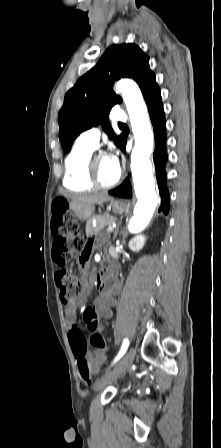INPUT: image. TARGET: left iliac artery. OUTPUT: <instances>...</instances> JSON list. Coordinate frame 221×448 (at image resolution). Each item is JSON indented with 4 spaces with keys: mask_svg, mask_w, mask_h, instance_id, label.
<instances>
[{
    "mask_svg": "<svg viewBox=\"0 0 221 448\" xmlns=\"http://www.w3.org/2000/svg\"><path fill=\"white\" fill-rule=\"evenodd\" d=\"M128 346H129V341H128L127 338H125L124 341H123L122 347H121V349H120V352L118 353L117 357L114 359L113 364H114L116 361H118V360L125 354V352H126Z\"/></svg>",
    "mask_w": 221,
    "mask_h": 448,
    "instance_id": "1",
    "label": "left iliac artery"
}]
</instances>
